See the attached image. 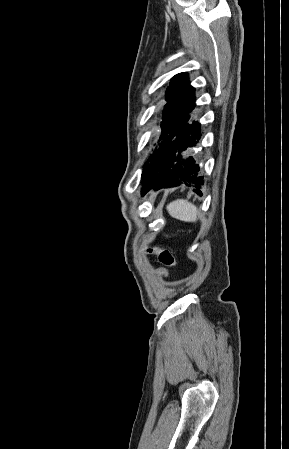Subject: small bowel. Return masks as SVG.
I'll return each mask as SVG.
<instances>
[{
    "instance_id": "1",
    "label": "small bowel",
    "mask_w": 289,
    "mask_h": 449,
    "mask_svg": "<svg viewBox=\"0 0 289 449\" xmlns=\"http://www.w3.org/2000/svg\"><path fill=\"white\" fill-rule=\"evenodd\" d=\"M158 273H160L161 275H167V272L164 268H159Z\"/></svg>"
}]
</instances>
